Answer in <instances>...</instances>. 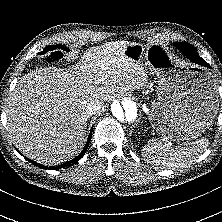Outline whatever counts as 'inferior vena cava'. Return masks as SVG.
Here are the masks:
<instances>
[{
  "label": "inferior vena cava",
  "mask_w": 222,
  "mask_h": 222,
  "mask_svg": "<svg viewBox=\"0 0 222 222\" xmlns=\"http://www.w3.org/2000/svg\"><path fill=\"white\" fill-rule=\"evenodd\" d=\"M101 108V104L96 102V103H89L86 105V108H85V113L90 116V115H93L98 109Z\"/></svg>",
  "instance_id": "obj_1"
}]
</instances>
